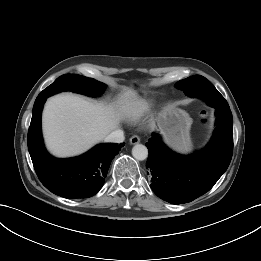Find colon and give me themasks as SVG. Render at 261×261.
<instances>
[{"label": "colon", "instance_id": "1", "mask_svg": "<svg viewBox=\"0 0 261 261\" xmlns=\"http://www.w3.org/2000/svg\"><path fill=\"white\" fill-rule=\"evenodd\" d=\"M203 118H205V115H203ZM203 121H205V119H203Z\"/></svg>", "mask_w": 261, "mask_h": 261}]
</instances>
